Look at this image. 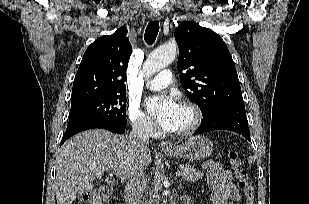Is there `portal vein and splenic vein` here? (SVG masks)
<instances>
[{"label":"portal vein and splenic vein","instance_id":"18ae733b","mask_svg":"<svg viewBox=\"0 0 309 204\" xmlns=\"http://www.w3.org/2000/svg\"><path fill=\"white\" fill-rule=\"evenodd\" d=\"M113 173L119 178L125 177V173L121 170H113ZM181 174L182 172L180 170L176 171L177 176H180Z\"/></svg>","mask_w":309,"mask_h":204}]
</instances>
